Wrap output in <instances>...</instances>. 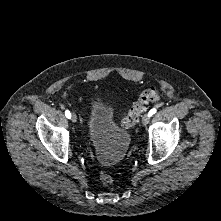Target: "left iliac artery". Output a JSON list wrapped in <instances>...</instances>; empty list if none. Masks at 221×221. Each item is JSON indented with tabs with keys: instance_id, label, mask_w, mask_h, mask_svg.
Returning a JSON list of instances; mask_svg holds the SVG:
<instances>
[{
	"instance_id": "left-iliac-artery-1",
	"label": "left iliac artery",
	"mask_w": 221,
	"mask_h": 221,
	"mask_svg": "<svg viewBox=\"0 0 221 221\" xmlns=\"http://www.w3.org/2000/svg\"><path fill=\"white\" fill-rule=\"evenodd\" d=\"M157 112V109L156 108H153L149 111L148 115L149 116H152L153 114H155Z\"/></svg>"
}]
</instances>
